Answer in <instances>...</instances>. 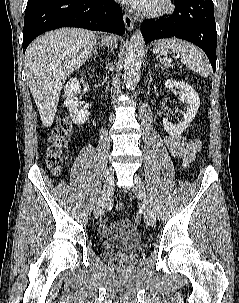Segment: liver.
I'll return each instance as SVG.
<instances>
[{"label":"liver","instance_id":"obj_1","mask_svg":"<svg viewBox=\"0 0 239 303\" xmlns=\"http://www.w3.org/2000/svg\"><path fill=\"white\" fill-rule=\"evenodd\" d=\"M97 34L78 28H61L37 37L25 53L26 80L44 127H50L57 111L61 90L71 73L90 56ZM103 42L117 47V37L105 36Z\"/></svg>","mask_w":239,"mask_h":303}]
</instances>
